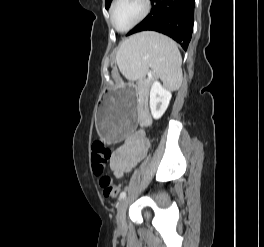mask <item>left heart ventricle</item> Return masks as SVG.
<instances>
[{"mask_svg": "<svg viewBox=\"0 0 264 247\" xmlns=\"http://www.w3.org/2000/svg\"><path fill=\"white\" fill-rule=\"evenodd\" d=\"M142 11V0H119L114 9V23L118 28L124 29L131 25Z\"/></svg>", "mask_w": 264, "mask_h": 247, "instance_id": "b2bd125f", "label": "left heart ventricle"}]
</instances>
